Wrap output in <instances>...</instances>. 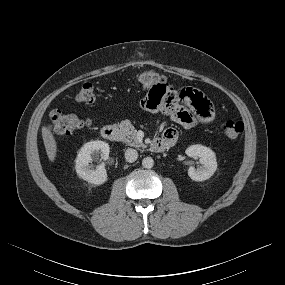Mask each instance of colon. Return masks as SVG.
<instances>
[{
  "instance_id": "obj_1",
  "label": "colon",
  "mask_w": 285,
  "mask_h": 285,
  "mask_svg": "<svg viewBox=\"0 0 285 285\" xmlns=\"http://www.w3.org/2000/svg\"><path fill=\"white\" fill-rule=\"evenodd\" d=\"M134 81L137 86L146 89L159 82L171 85L163 75L153 70L138 73L135 76ZM95 99L94 86L91 83L83 84L75 95V100L77 102L87 105L93 104ZM87 125L88 122L86 120L73 114H67L60 110H53L50 113L49 129L58 135H72ZM242 132L243 124L239 121H226L222 124V133L226 139H236Z\"/></svg>"
}]
</instances>
